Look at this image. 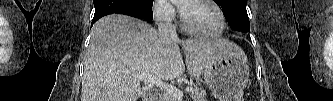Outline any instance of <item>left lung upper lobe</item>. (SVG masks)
Segmentation results:
<instances>
[{"instance_id": "obj_1", "label": "left lung upper lobe", "mask_w": 333, "mask_h": 101, "mask_svg": "<svg viewBox=\"0 0 333 101\" xmlns=\"http://www.w3.org/2000/svg\"><path fill=\"white\" fill-rule=\"evenodd\" d=\"M222 7L230 26L241 32H249L250 23L246 11L247 0H214Z\"/></svg>"}]
</instances>
